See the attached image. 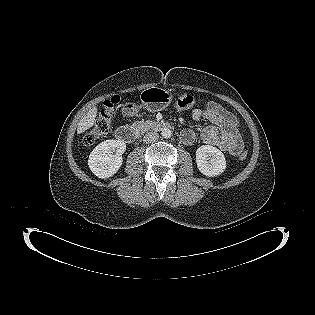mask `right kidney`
I'll return each instance as SVG.
<instances>
[{
  "label": "right kidney",
  "instance_id": "obj_1",
  "mask_svg": "<svg viewBox=\"0 0 315 315\" xmlns=\"http://www.w3.org/2000/svg\"><path fill=\"white\" fill-rule=\"evenodd\" d=\"M125 150L126 144L121 140L101 142L89 156L88 165L90 170L102 179L113 176L122 165V154Z\"/></svg>",
  "mask_w": 315,
  "mask_h": 315
}]
</instances>
